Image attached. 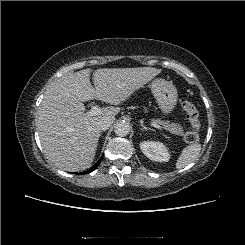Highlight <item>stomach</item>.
<instances>
[{
  "label": "stomach",
  "mask_w": 245,
  "mask_h": 245,
  "mask_svg": "<svg viewBox=\"0 0 245 245\" xmlns=\"http://www.w3.org/2000/svg\"><path fill=\"white\" fill-rule=\"evenodd\" d=\"M152 93L164 115H168L176 107L178 93L172 82L156 79L151 84Z\"/></svg>",
  "instance_id": "0dacf381"
}]
</instances>
